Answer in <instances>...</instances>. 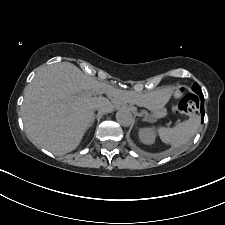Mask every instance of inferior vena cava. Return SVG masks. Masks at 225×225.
I'll use <instances>...</instances> for the list:
<instances>
[{
    "instance_id": "1",
    "label": "inferior vena cava",
    "mask_w": 225,
    "mask_h": 225,
    "mask_svg": "<svg viewBox=\"0 0 225 225\" xmlns=\"http://www.w3.org/2000/svg\"><path fill=\"white\" fill-rule=\"evenodd\" d=\"M96 109H101V107L100 106H96Z\"/></svg>"
}]
</instances>
